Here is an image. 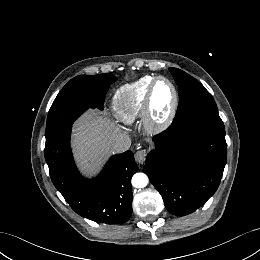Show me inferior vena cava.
<instances>
[{"mask_svg": "<svg viewBox=\"0 0 260 260\" xmlns=\"http://www.w3.org/2000/svg\"><path fill=\"white\" fill-rule=\"evenodd\" d=\"M131 139L125 134H118L112 141L111 148L113 152L122 153L129 150Z\"/></svg>", "mask_w": 260, "mask_h": 260, "instance_id": "obj_1", "label": "inferior vena cava"}]
</instances>
